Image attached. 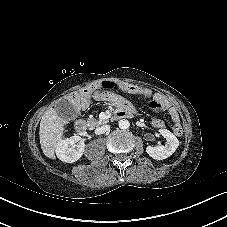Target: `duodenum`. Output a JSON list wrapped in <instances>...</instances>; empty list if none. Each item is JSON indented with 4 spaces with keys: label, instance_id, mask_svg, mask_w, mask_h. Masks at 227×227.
<instances>
[{
    "label": "duodenum",
    "instance_id": "410a0bca",
    "mask_svg": "<svg viewBox=\"0 0 227 227\" xmlns=\"http://www.w3.org/2000/svg\"><path fill=\"white\" fill-rule=\"evenodd\" d=\"M125 115H128V114L122 113L121 111L117 110L116 113L114 114L113 118H114V120H118ZM79 134L83 137H85L87 135V127H86L85 122H81L79 124Z\"/></svg>",
    "mask_w": 227,
    "mask_h": 227
}]
</instances>
